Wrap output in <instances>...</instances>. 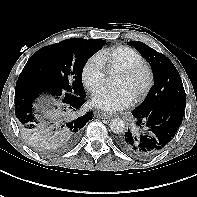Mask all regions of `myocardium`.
<instances>
[{
  "label": "myocardium",
  "instance_id": "myocardium-1",
  "mask_svg": "<svg viewBox=\"0 0 197 197\" xmlns=\"http://www.w3.org/2000/svg\"><path fill=\"white\" fill-rule=\"evenodd\" d=\"M121 74L129 79H135L141 75H144L145 82L139 92L135 95L136 101L142 100L150 92L154 83V73L151 66L147 63H140L127 69L121 70Z\"/></svg>",
  "mask_w": 197,
  "mask_h": 197
}]
</instances>
